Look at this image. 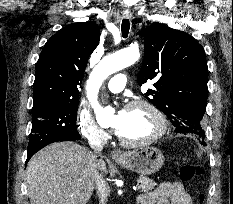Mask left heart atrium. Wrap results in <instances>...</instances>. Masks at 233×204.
<instances>
[{
    "instance_id": "1",
    "label": "left heart atrium",
    "mask_w": 233,
    "mask_h": 204,
    "mask_svg": "<svg viewBox=\"0 0 233 204\" xmlns=\"http://www.w3.org/2000/svg\"><path fill=\"white\" fill-rule=\"evenodd\" d=\"M125 110H119L116 114V124L114 125V130L118 134L120 130V125L123 120Z\"/></svg>"
}]
</instances>
